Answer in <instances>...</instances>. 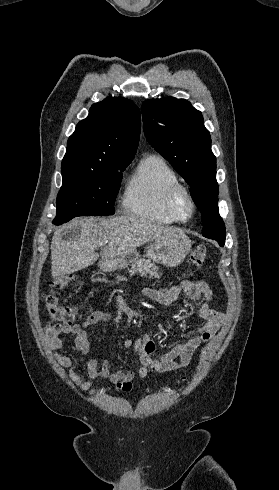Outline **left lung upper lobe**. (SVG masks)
Instances as JSON below:
<instances>
[{"instance_id": "obj_1", "label": "left lung upper lobe", "mask_w": 279, "mask_h": 490, "mask_svg": "<svg viewBox=\"0 0 279 490\" xmlns=\"http://www.w3.org/2000/svg\"><path fill=\"white\" fill-rule=\"evenodd\" d=\"M142 117L148 142L190 185L201 212L202 235L223 246L226 229L217 204L216 157L201 112L185 99L166 97L144 101Z\"/></svg>"}]
</instances>
